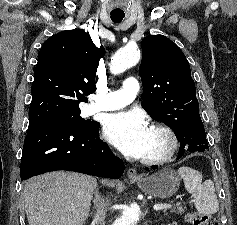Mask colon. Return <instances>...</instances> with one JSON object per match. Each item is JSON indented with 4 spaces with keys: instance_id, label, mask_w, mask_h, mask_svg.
I'll list each match as a JSON object with an SVG mask.
<instances>
[{
    "instance_id": "obj_1",
    "label": "colon",
    "mask_w": 237,
    "mask_h": 225,
    "mask_svg": "<svg viewBox=\"0 0 237 225\" xmlns=\"http://www.w3.org/2000/svg\"><path fill=\"white\" fill-rule=\"evenodd\" d=\"M186 220L190 225H219L211 215L197 212H189L186 216Z\"/></svg>"
}]
</instances>
